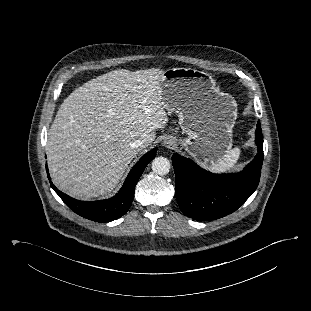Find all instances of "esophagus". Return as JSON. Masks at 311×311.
<instances>
[{
	"label": "esophagus",
	"instance_id": "1",
	"mask_svg": "<svg viewBox=\"0 0 311 311\" xmlns=\"http://www.w3.org/2000/svg\"><path fill=\"white\" fill-rule=\"evenodd\" d=\"M175 144V140L171 137H167L163 140L162 146L165 148H172Z\"/></svg>",
	"mask_w": 311,
	"mask_h": 311
}]
</instances>
